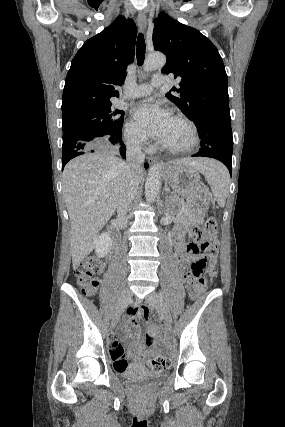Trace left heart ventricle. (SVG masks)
Returning <instances> with one entry per match:
<instances>
[{
    "mask_svg": "<svg viewBox=\"0 0 285 427\" xmlns=\"http://www.w3.org/2000/svg\"><path fill=\"white\" fill-rule=\"evenodd\" d=\"M163 142L176 147H183L190 143L191 133L183 122L171 118Z\"/></svg>",
    "mask_w": 285,
    "mask_h": 427,
    "instance_id": "left-heart-ventricle-1",
    "label": "left heart ventricle"
}]
</instances>
